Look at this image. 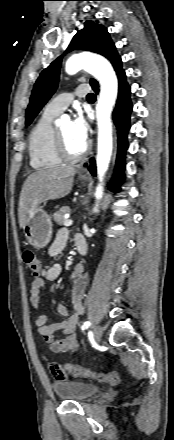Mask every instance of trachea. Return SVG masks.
<instances>
[{
  "instance_id": "obj_1",
  "label": "trachea",
  "mask_w": 174,
  "mask_h": 440,
  "mask_svg": "<svg viewBox=\"0 0 174 440\" xmlns=\"http://www.w3.org/2000/svg\"><path fill=\"white\" fill-rule=\"evenodd\" d=\"M96 98V95L93 93L88 94L87 99L88 100H94Z\"/></svg>"
}]
</instances>
